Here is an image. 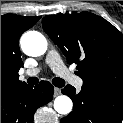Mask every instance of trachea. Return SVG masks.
Here are the masks:
<instances>
[{
    "mask_svg": "<svg viewBox=\"0 0 123 123\" xmlns=\"http://www.w3.org/2000/svg\"><path fill=\"white\" fill-rule=\"evenodd\" d=\"M30 85H37L38 83V78L37 77H31L28 79L27 81ZM52 83L56 86V87H63L65 84V81L61 78H54L52 80Z\"/></svg>",
    "mask_w": 123,
    "mask_h": 123,
    "instance_id": "obj_1",
    "label": "trachea"
}]
</instances>
